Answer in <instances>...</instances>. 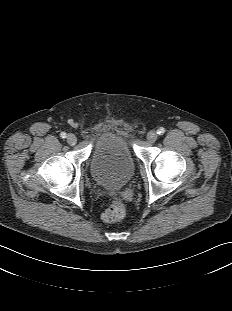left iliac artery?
Instances as JSON below:
<instances>
[{"mask_svg": "<svg viewBox=\"0 0 232 311\" xmlns=\"http://www.w3.org/2000/svg\"><path fill=\"white\" fill-rule=\"evenodd\" d=\"M165 133V129L163 127H160L158 130H157V134L159 135H163Z\"/></svg>", "mask_w": 232, "mask_h": 311, "instance_id": "left-iliac-artery-1", "label": "left iliac artery"}]
</instances>
